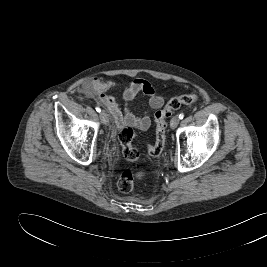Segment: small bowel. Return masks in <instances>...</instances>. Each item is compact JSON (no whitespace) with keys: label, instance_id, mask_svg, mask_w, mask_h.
<instances>
[{"label":"small bowel","instance_id":"obj_1","mask_svg":"<svg viewBox=\"0 0 267 267\" xmlns=\"http://www.w3.org/2000/svg\"><path fill=\"white\" fill-rule=\"evenodd\" d=\"M117 87L118 85L114 81H105L95 77L83 84V91L86 95L95 97L111 113L118 128L134 127L140 130H147L151 125L150 115L147 113L141 116L135 115L129 109L130 103L138 94L143 93L148 97L149 107L156 110L163 106L164 98L157 93L151 82L146 79L136 78L123 90L124 108L121 109L115 97L107 93Z\"/></svg>","mask_w":267,"mask_h":267}]
</instances>
